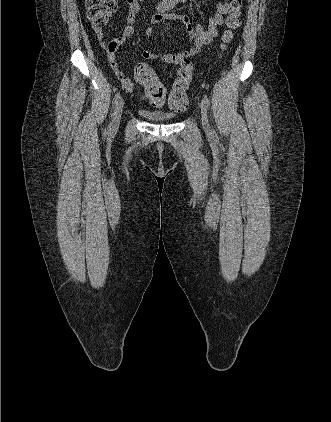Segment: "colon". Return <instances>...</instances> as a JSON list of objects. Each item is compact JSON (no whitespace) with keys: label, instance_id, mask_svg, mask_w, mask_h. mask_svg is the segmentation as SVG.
Instances as JSON below:
<instances>
[{"label":"colon","instance_id":"colon-1","mask_svg":"<svg viewBox=\"0 0 331 422\" xmlns=\"http://www.w3.org/2000/svg\"><path fill=\"white\" fill-rule=\"evenodd\" d=\"M243 0H229V11L225 20L221 48L232 41L234 31L241 24ZM87 17L93 25L103 26L118 7L117 0H85ZM135 78L143 85L145 96L151 102H159L165 98V87L158 81L153 69L144 63L134 68ZM193 78V64L185 60L179 67L168 98L169 108L174 112H182L188 106L187 91Z\"/></svg>","mask_w":331,"mask_h":422}]
</instances>
